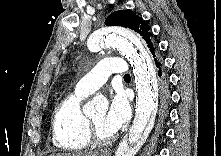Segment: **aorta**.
<instances>
[{"instance_id":"obj_1","label":"aorta","mask_w":221,"mask_h":156,"mask_svg":"<svg viewBox=\"0 0 221 156\" xmlns=\"http://www.w3.org/2000/svg\"><path fill=\"white\" fill-rule=\"evenodd\" d=\"M99 44L120 51L132 64L136 83V113L128 136L116 156H132L147 139L154 125L157 110L158 86L156 72L150 56L142 43L129 30L112 27L99 37ZM108 103L101 98H93L83 112L93 115L96 110H105Z\"/></svg>"}]
</instances>
